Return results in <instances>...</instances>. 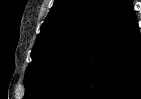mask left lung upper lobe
I'll list each match as a JSON object with an SVG mask.
<instances>
[{
  "label": "left lung upper lobe",
  "instance_id": "obj_1",
  "mask_svg": "<svg viewBox=\"0 0 141 99\" xmlns=\"http://www.w3.org/2000/svg\"><path fill=\"white\" fill-rule=\"evenodd\" d=\"M122 0H55L32 49L24 99H37Z\"/></svg>",
  "mask_w": 141,
  "mask_h": 99
}]
</instances>
